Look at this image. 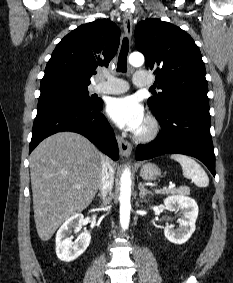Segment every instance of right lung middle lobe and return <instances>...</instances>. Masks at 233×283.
Returning <instances> with one entry per match:
<instances>
[{"instance_id":"right-lung-middle-lobe-1","label":"right lung middle lobe","mask_w":233,"mask_h":283,"mask_svg":"<svg viewBox=\"0 0 233 283\" xmlns=\"http://www.w3.org/2000/svg\"><path fill=\"white\" fill-rule=\"evenodd\" d=\"M88 86L80 85L67 80H51L41 82L40 84V100L50 98H61L80 102L87 105H93L99 102L93 96H89Z\"/></svg>"}]
</instances>
